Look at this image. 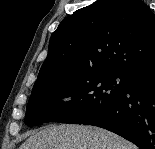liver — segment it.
<instances>
[{"instance_id":"liver-1","label":"liver","mask_w":155,"mask_h":149,"mask_svg":"<svg viewBox=\"0 0 155 149\" xmlns=\"http://www.w3.org/2000/svg\"><path fill=\"white\" fill-rule=\"evenodd\" d=\"M19 149H137L122 137L91 126L62 124L31 135Z\"/></svg>"}]
</instances>
